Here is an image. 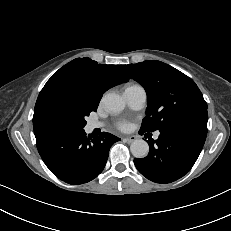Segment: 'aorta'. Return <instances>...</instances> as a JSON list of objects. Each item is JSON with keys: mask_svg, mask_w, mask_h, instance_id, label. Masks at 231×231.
<instances>
[{"mask_svg": "<svg viewBox=\"0 0 231 231\" xmlns=\"http://www.w3.org/2000/svg\"><path fill=\"white\" fill-rule=\"evenodd\" d=\"M103 104L106 110H108L111 113H119L125 107L124 99L116 93H107L103 97ZM130 150L135 158L142 159L148 155L149 145L146 141L138 139L131 144Z\"/></svg>", "mask_w": 231, "mask_h": 231, "instance_id": "1", "label": "aorta"}]
</instances>
